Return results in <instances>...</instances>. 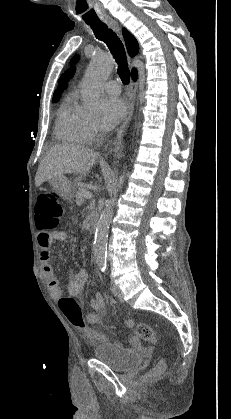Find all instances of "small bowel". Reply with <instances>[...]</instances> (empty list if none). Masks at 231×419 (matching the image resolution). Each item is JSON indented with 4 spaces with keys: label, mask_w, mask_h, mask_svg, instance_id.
<instances>
[{
    "label": "small bowel",
    "mask_w": 231,
    "mask_h": 419,
    "mask_svg": "<svg viewBox=\"0 0 231 419\" xmlns=\"http://www.w3.org/2000/svg\"><path fill=\"white\" fill-rule=\"evenodd\" d=\"M66 239L67 234L62 230L54 231L52 233L41 231L37 237V241L41 249L40 257L42 262V271L48 280L50 294L56 301H59L62 298L63 293L55 270L50 263V254L55 242H64ZM87 281V270L85 268H80L68 282V294L72 297H79ZM91 307L94 312H90L86 315V322L91 325H98L100 324L101 317L105 312V299L100 293L95 294L91 299ZM96 333L98 335L97 339H99L102 335L98 332ZM132 342L135 343L136 341L133 339Z\"/></svg>",
    "instance_id": "1"
}]
</instances>
